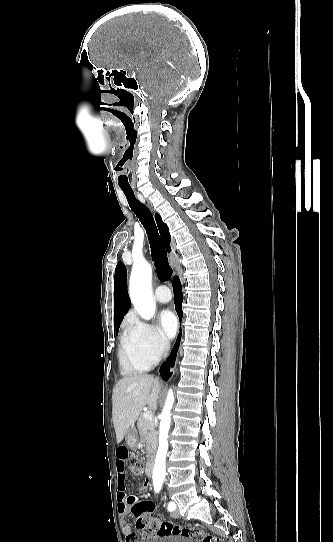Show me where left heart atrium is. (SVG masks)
Instances as JSON below:
<instances>
[{"instance_id": "left-heart-atrium-1", "label": "left heart atrium", "mask_w": 333, "mask_h": 542, "mask_svg": "<svg viewBox=\"0 0 333 542\" xmlns=\"http://www.w3.org/2000/svg\"><path fill=\"white\" fill-rule=\"evenodd\" d=\"M160 323L164 334L169 339L173 338L178 327V322L175 314L170 310L162 312L160 316Z\"/></svg>"}]
</instances>
